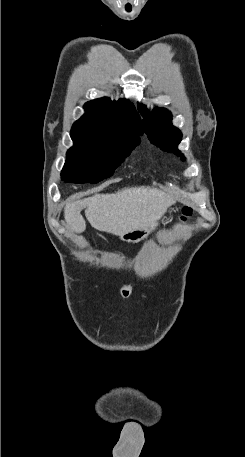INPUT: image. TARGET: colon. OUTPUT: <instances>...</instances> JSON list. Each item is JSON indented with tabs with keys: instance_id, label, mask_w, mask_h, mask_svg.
<instances>
[{
	"instance_id": "5ec220e1",
	"label": "colon",
	"mask_w": 245,
	"mask_h": 457,
	"mask_svg": "<svg viewBox=\"0 0 245 457\" xmlns=\"http://www.w3.org/2000/svg\"><path fill=\"white\" fill-rule=\"evenodd\" d=\"M192 208L189 206H185L182 210V216H181V221L185 222L187 221L191 216H192Z\"/></svg>"
}]
</instances>
